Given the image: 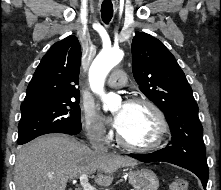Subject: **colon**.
I'll return each instance as SVG.
<instances>
[{
    "mask_svg": "<svg viewBox=\"0 0 221 190\" xmlns=\"http://www.w3.org/2000/svg\"><path fill=\"white\" fill-rule=\"evenodd\" d=\"M170 190H188V181L183 178L176 179L171 183Z\"/></svg>",
    "mask_w": 221,
    "mask_h": 190,
    "instance_id": "5ec220e1",
    "label": "colon"
}]
</instances>
